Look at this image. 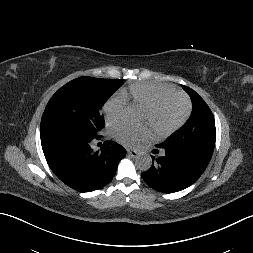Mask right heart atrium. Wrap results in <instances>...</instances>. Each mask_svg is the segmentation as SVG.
Here are the masks:
<instances>
[{"mask_svg": "<svg viewBox=\"0 0 253 253\" xmlns=\"http://www.w3.org/2000/svg\"><path fill=\"white\" fill-rule=\"evenodd\" d=\"M127 100L119 93L110 97L104 104L105 120L109 125L119 124L123 118Z\"/></svg>", "mask_w": 253, "mask_h": 253, "instance_id": "d8ad5b80", "label": "right heart atrium"}]
</instances>
